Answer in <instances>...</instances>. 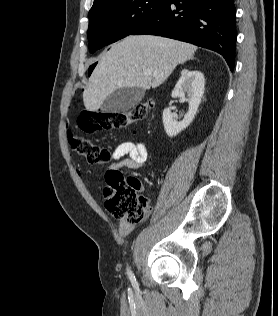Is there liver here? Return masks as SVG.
I'll return each instance as SVG.
<instances>
[{
  "instance_id": "1",
  "label": "liver",
  "mask_w": 278,
  "mask_h": 316,
  "mask_svg": "<svg viewBox=\"0 0 278 316\" xmlns=\"http://www.w3.org/2000/svg\"><path fill=\"white\" fill-rule=\"evenodd\" d=\"M196 50L192 44L166 37L131 35L124 38L102 55L92 72L83 92L86 109L97 111L119 88L147 90L160 86L175 67L191 59Z\"/></svg>"
}]
</instances>
